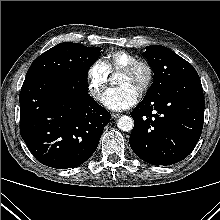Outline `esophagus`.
I'll use <instances>...</instances> for the list:
<instances>
[{"label":"esophagus","mask_w":220,"mask_h":220,"mask_svg":"<svg viewBox=\"0 0 220 220\" xmlns=\"http://www.w3.org/2000/svg\"><path fill=\"white\" fill-rule=\"evenodd\" d=\"M111 116H112V118L116 119V118L120 117L121 114L120 113H116V112H112Z\"/></svg>","instance_id":"34e87169"}]
</instances>
